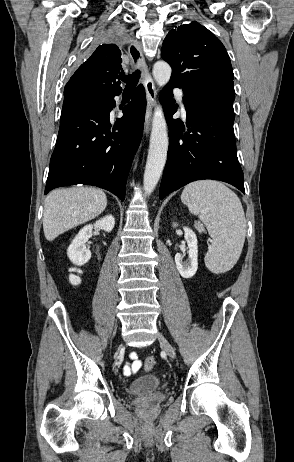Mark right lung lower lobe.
I'll use <instances>...</instances> for the list:
<instances>
[{"label": "right lung lower lobe", "instance_id": "obj_1", "mask_svg": "<svg viewBox=\"0 0 294 462\" xmlns=\"http://www.w3.org/2000/svg\"><path fill=\"white\" fill-rule=\"evenodd\" d=\"M120 93L62 112L45 194L56 187L87 184L124 200L127 176L142 137L146 97L139 85L112 128L109 114Z\"/></svg>", "mask_w": 294, "mask_h": 462}]
</instances>
